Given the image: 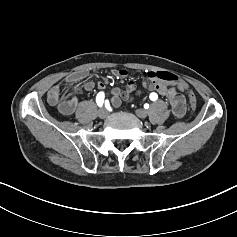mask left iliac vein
Returning <instances> with one entry per match:
<instances>
[{"label": "left iliac vein", "mask_w": 237, "mask_h": 237, "mask_svg": "<svg viewBox=\"0 0 237 237\" xmlns=\"http://www.w3.org/2000/svg\"><path fill=\"white\" fill-rule=\"evenodd\" d=\"M135 113L139 118H145L148 114L147 110L145 109H137Z\"/></svg>", "instance_id": "1"}]
</instances>
